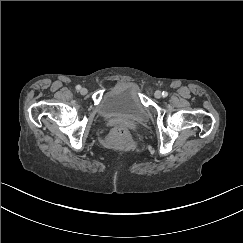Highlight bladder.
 I'll return each instance as SVG.
<instances>
[{
    "label": "bladder",
    "mask_w": 243,
    "mask_h": 243,
    "mask_svg": "<svg viewBox=\"0 0 243 243\" xmlns=\"http://www.w3.org/2000/svg\"><path fill=\"white\" fill-rule=\"evenodd\" d=\"M97 112L104 118H117L144 122L148 111L141 102L140 88L132 81H122L108 90L97 105Z\"/></svg>",
    "instance_id": "31cf9c89"
}]
</instances>
